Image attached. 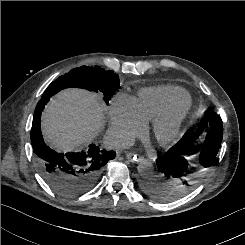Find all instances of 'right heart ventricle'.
I'll return each instance as SVG.
<instances>
[{"label": "right heart ventricle", "instance_id": "e07e8e85", "mask_svg": "<svg viewBox=\"0 0 245 245\" xmlns=\"http://www.w3.org/2000/svg\"><path fill=\"white\" fill-rule=\"evenodd\" d=\"M134 100L139 115L148 122L189 103L190 95L181 87L163 85L139 90Z\"/></svg>", "mask_w": 245, "mask_h": 245}]
</instances>
